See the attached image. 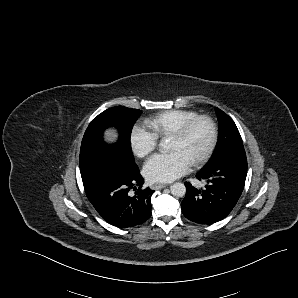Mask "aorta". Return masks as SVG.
Wrapping results in <instances>:
<instances>
[{"instance_id": "obj_1", "label": "aorta", "mask_w": 298, "mask_h": 298, "mask_svg": "<svg viewBox=\"0 0 298 298\" xmlns=\"http://www.w3.org/2000/svg\"><path fill=\"white\" fill-rule=\"evenodd\" d=\"M168 142L165 140L161 141L159 146L163 148L164 150H168ZM171 194L175 197H183L186 194V186L182 182H175L170 186Z\"/></svg>"}]
</instances>
